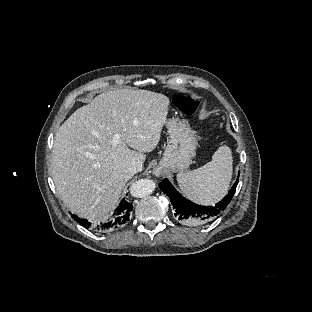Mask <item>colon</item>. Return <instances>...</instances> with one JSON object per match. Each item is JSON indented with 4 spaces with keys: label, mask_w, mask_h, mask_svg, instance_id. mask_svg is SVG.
Segmentation results:
<instances>
[{
    "label": "colon",
    "mask_w": 312,
    "mask_h": 312,
    "mask_svg": "<svg viewBox=\"0 0 312 312\" xmlns=\"http://www.w3.org/2000/svg\"><path fill=\"white\" fill-rule=\"evenodd\" d=\"M173 104L179 111L186 115L195 114L199 106L196 100L182 95H176L173 98Z\"/></svg>",
    "instance_id": "colon-1"
}]
</instances>
